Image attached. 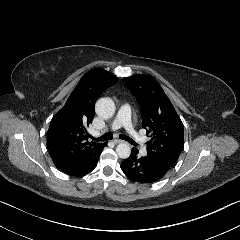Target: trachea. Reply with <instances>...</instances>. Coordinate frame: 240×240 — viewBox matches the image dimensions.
<instances>
[{
	"instance_id": "obj_1",
	"label": "trachea",
	"mask_w": 240,
	"mask_h": 240,
	"mask_svg": "<svg viewBox=\"0 0 240 240\" xmlns=\"http://www.w3.org/2000/svg\"><path fill=\"white\" fill-rule=\"evenodd\" d=\"M119 137H120V139L129 142L133 146H137L138 145L133 139H131L130 137H128L126 135H122L121 134ZM112 138H113V135L111 133H105L104 135H102L99 138H94V140L95 141H108V140H112Z\"/></svg>"
}]
</instances>
